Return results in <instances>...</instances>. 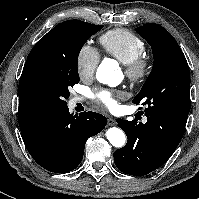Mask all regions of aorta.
Wrapping results in <instances>:
<instances>
[{
    "label": "aorta",
    "mask_w": 199,
    "mask_h": 199,
    "mask_svg": "<svg viewBox=\"0 0 199 199\" xmlns=\"http://www.w3.org/2000/svg\"><path fill=\"white\" fill-rule=\"evenodd\" d=\"M96 77L101 83L117 85L121 81L122 73L102 63L97 70ZM106 137L108 141L117 148L124 146L126 142L124 132L117 127L109 128L106 132Z\"/></svg>",
    "instance_id": "aorta-1"
}]
</instances>
